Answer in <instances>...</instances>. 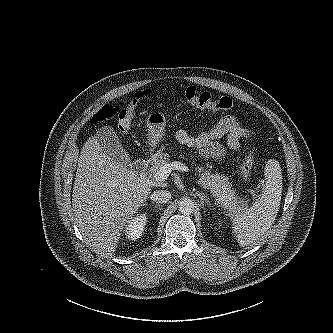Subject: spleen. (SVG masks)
I'll list each match as a JSON object with an SVG mask.
<instances>
[{
	"label": "spleen",
	"instance_id": "obj_1",
	"mask_svg": "<svg viewBox=\"0 0 333 333\" xmlns=\"http://www.w3.org/2000/svg\"><path fill=\"white\" fill-rule=\"evenodd\" d=\"M265 185L260 198L250 208L232 216V230L240 245L258 241L273 225L282 195V172L277 160L270 159L264 168Z\"/></svg>",
	"mask_w": 333,
	"mask_h": 333
}]
</instances>
